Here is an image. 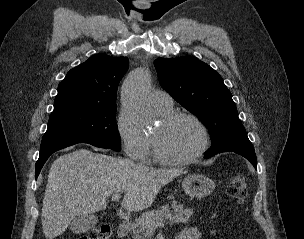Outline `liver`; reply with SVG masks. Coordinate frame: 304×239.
Masks as SVG:
<instances>
[{"mask_svg":"<svg viewBox=\"0 0 304 239\" xmlns=\"http://www.w3.org/2000/svg\"><path fill=\"white\" fill-rule=\"evenodd\" d=\"M185 171L153 168L130 159L79 149L57 158L49 171L42 206L46 238L63 234L77 216L104 210L106 198L124 192L127 211L147 209L159 190Z\"/></svg>","mask_w":304,"mask_h":239,"instance_id":"liver-1","label":"liver"}]
</instances>
